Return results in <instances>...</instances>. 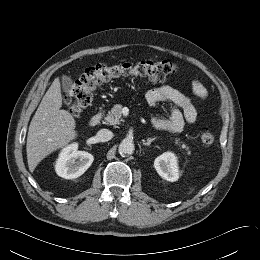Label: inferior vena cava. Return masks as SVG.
<instances>
[{"instance_id": "1", "label": "inferior vena cava", "mask_w": 260, "mask_h": 260, "mask_svg": "<svg viewBox=\"0 0 260 260\" xmlns=\"http://www.w3.org/2000/svg\"><path fill=\"white\" fill-rule=\"evenodd\" d=\"M112 137H113V133L108 129H101L96 134V138L100 142H107V141L111 140Z\"/></svg>"}]
</instances>
